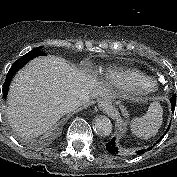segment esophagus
I'll list each match as a JSON object with an SVG mask.
<instances>
[{
	"instance_id": "obj_1",
	"label": "esophagus",
	"mask_w": 177,
	"mask_h": 177,
	"mask_svg": "<svg viewBox=\"0 0 177 177\" xmlns=\"http://www.w3.org/2000/svg\"><path fill=\"white\" fill-rule=\"evenodd\" d=\"M101 103H102L101 105L105 106V105H107V104H105V103H107V100H105V101H103Z\"/></svg>"
}]
</instances>
